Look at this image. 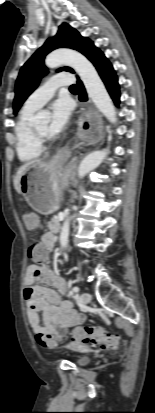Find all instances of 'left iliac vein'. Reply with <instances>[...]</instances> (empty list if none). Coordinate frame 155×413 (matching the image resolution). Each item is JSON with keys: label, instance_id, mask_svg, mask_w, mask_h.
<instances>
[{"label": "left iliac vein", "instance_id": "obj_1", "mask_svg": "<svg viewBox=\"0 0 155 413\" xmlns=\"http://www.w3.org/2000/svg\"><path fill=\"white\" fill-rule=\"evenodd\" d=\"M91 299V295L88 292H84L81 296H80V302L83 306H86Z\"/></svg>", "mask_w": 155, "mask_h": 413}]
</instances>
